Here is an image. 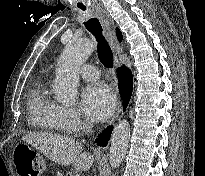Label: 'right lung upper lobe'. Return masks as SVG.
<instances>
[{
  "mask_svg": "<svg viewBox=\"0 0 205 176\" xmlns=\"http://www.w3.org/2000/svg\"><path fill=\"white\" fill-rule=\"evenodd\" d=\"M116 32H117V38L121 42L122 41V33L120 32V30L118 28L116 29Z\"/></svg>",
  "mask_w": 205,
  "mask_h": 176,
  "instance_id": "1",
  "label": "right lung upper lobe"
}]
</instances>
